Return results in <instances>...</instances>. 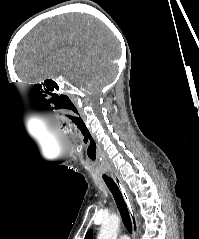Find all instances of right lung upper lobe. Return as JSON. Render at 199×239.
<instances>
[{
  "instance_id": "right-lung-upper-lobe-1",
  "label": "right lung upper lobe",
  "mask_w": 199,
  "mask_h": 239,
  "mask_svg": "<svg viewBox=\"0 0 199 239\" xmlns=\"http://www.w3.org/2000/svg\"><path fill=\"white\" fill-rule=\"evenodd\" d=\"M93 238V232L92 230L88 231V233L85 236V239H92Z\"/></svg>"
}]
</instances>
